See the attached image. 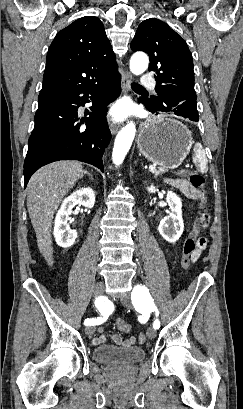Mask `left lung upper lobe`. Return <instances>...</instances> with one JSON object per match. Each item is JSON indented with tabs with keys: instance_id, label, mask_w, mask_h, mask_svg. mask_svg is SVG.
Instances as JSON below:
<instances>
[{
	"instance_id": "1",
	"label": "left lung upper lobe",
	"mask_w": 243,
	"mask_h": 409,
	"mask_svg": "<svg viewBox=\"0 0 243 409\" xmlns=\"http://www.w3.org/2000/svg\"><path fill=\"white\" fill-rule=\"evenodd\" d=\"M133 51H144L150 57L149 71L154 72L158 96L189 102L196 107L193 60L186 42L166 23L156 18L144 20L131 42Z\"/></svg>"
}]
</instances>
